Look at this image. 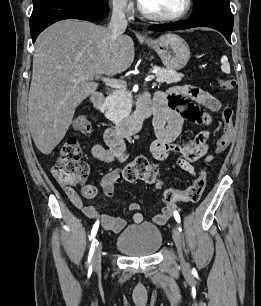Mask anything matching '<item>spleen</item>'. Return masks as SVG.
Returning <instances> with one entry per match:
<instances>
[{
	"label": "spleen",
	"mask_w": 261,
	"mask_h": 306,
	"mask_svg": "<svg viewBox=\"0 0 261 306\" xmlns=\"http://www.w3.org/2000/svg\"><path fill=\"white\" fill-rule=\"evenodd\" d=\"M221 69L223 72H225L226 74H229L230 73V65L228 63V58L226 56H223L221 58Z\"/></svg>",
	"instance_id": "1"
}]
</instances>
